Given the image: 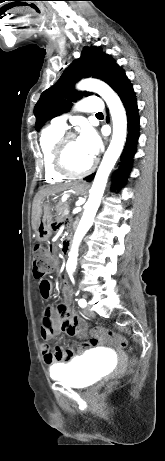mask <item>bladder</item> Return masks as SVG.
Here are the masks:
<instances>
[{
    "instance_id": "31cf9c89",
    "label": "bladder",
    "mask_w": 165,
    "mask_h": 461,
    "mask_svg": "<svg viewBox=\"0 0 165 461\" xmlns=\"http://www.w3.org/2000/svg\"><path fill=\"white\" fill-rule=\"evenodd\" d=\"M107 370L99 354L87 353L68 363L55 365L51 368V376L73 388L84 389L103 377Z\"/></svg>"
}]
</instances>
